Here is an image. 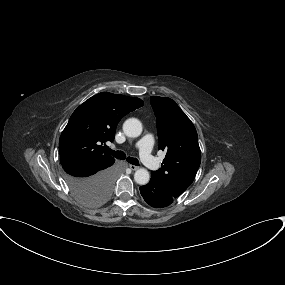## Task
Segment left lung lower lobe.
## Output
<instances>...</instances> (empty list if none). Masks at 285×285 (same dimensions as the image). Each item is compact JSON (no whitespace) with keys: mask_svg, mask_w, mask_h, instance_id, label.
Masks as SVG:
<instances>
[{"mask_svg":"<svg viewBox=\"0 0 285 285\" xmlns=\"http://www.w3.org/2000/svg\"><path fill=\"white\" fill-rule=\"evenodd\" d=\"M140 192L146 203L156 208L167 207L178 197L165 181L153 173L150 182L140 187Z\"/></svg>","mask_w":285,"mask_h":285,"instance_id":"left-lung-lower-lobe-1","label":"left lung lower lobe"}]
</instances>
